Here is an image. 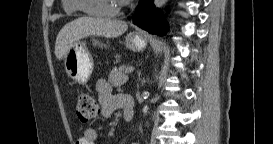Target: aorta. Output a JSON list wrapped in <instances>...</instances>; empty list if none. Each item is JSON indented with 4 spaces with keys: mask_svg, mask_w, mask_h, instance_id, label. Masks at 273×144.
<instances>
[{
    "mask_svg": "<svg viewBox=\"0 0 273 144\" xmlns=\"http://www.w3.org/2000/svg\"><path fill=\"white\" fill-rule=\"evenodd\" d=\"M167 0H154V5L157 7V8H162L165 4H166ZM148 112V106L145 105L143 107V113L144 115H146Z\"/></svg>",
    "mask_w": 273,
    "mask_h": 144,
    "instance_id": "762f6f07",
    "label": "aorta"
}]
</instances>
